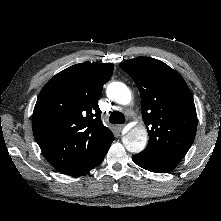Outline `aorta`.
<instances>
[{"label": "aorta", "mask_w": 221, "mask_h": 221, "mask_svg": "<svg viewBox=\"0 0 221 221\" xmlns=\"http://www.w3.org/2000/svg\"><path fill=\"white\" fill-rule=\"evenodd\" d=\"M107 96L120 105H129L132 95L129 88L122 82H111L107 87ZM148 139L144 126L132 128L123 138L125 148L131 153H139L146 147Z\"/></svg>", "instance_id": "aorta-1"}]
</instances>
